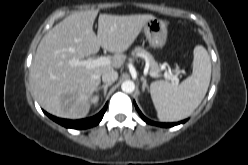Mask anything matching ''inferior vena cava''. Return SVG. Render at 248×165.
Instances as JSON below:
<instances>
[{"mask_svg": "<svg viewBox=\"0 0 248 165\" xmlns=\"http://www.w3.org/2000/svg\"><path fill=\"white\" fill-rule=\"evenodd\" d=\"M118 78V73L114 70H109L102 74V81L106 84H112Z\"/></svg>", "mask_w": 248, "mask_h": 165, "instance_id": "602c4592", "label": "inferior vena cava"}]
</instances>
